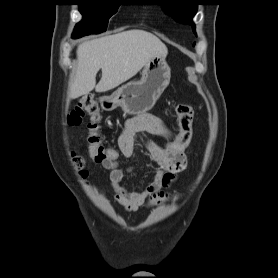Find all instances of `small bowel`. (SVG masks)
I'll return each mask as SVG.
<instances>
[{
	"instance_id": "obj_1",
	"label": "small bowel",
	"mask_w": 278,
	"mask_h": 278,
	"mask_svg": "<svg viewBox=\"0 0 278 278\" xmlns=\"http://www.w3.org/2000/svg\"><path fill=\"white\" fill-rule=\"evenodd\" d=\"M150 133L164 139L159 145L142 137ZM173 137L165 123L153 114H140L127 120L118 138L119 156H133L138 147L143 146L149 157L157 165L153 181L144 189L128 191L121 186L125 172L120 168L119 157L100 162L109 171V182L114 199L128 212H136L144 201L153 193L169 187L177 179L187 164L186 155L178 154L169 149L166 143Z\"/></svg>"
}]
</instances>
